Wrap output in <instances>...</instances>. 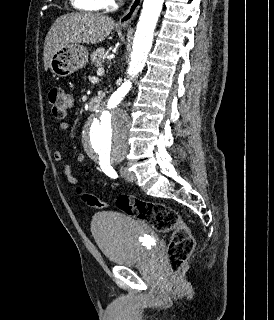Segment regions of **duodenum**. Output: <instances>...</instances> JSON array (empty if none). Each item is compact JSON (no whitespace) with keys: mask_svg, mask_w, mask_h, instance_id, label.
<instances>
[{"mask_svg":"<svg viewBox=\"0 0 274 320\" xmlns=\"http://www.w3.org/2000/svg\"><path fill=\"white\" fill-rule=\"evenodd\" d=\"M101 105H102V101H101V99L98 98V97L92 98V99L90 100V102H89V107H90V109H92V110H98V109H100Z\"/></svg>","mask_w":274,"mask_h":320,"instance_id":"obj_1","label":"duodenum"}]
</instances>
